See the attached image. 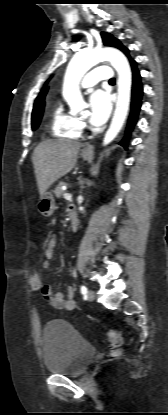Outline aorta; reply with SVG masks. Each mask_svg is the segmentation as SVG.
Segmentation results:
<instances>
[{
  "label": "aorta",
  "mask_w": 168,
  "mask_h": 415,
  "mask_svg": "<svg viewBox=\"0 0 168 415\" xmlns=\"http://www.w3.org/2000/svg\"><path fill=\"white\" fill-rule=\"evenodd\" d=\"M104 60L109 61L118 73L116 108L103 140V144L107 145L121 130L130 104L132 76L129 63L124 54L112 47L77 52L66 70L63 97L72 110L82 108L84 101L79 90V82L90 68Z\"/></svg>",
  "instance_id": "1"
}]
</instances>
